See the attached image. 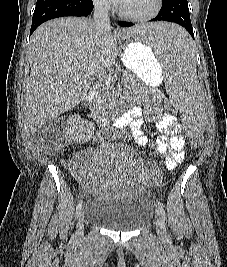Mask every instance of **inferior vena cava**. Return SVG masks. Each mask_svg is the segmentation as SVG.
Returning <instances> with one entry per match:
<instances>
[{"label": "inferior vena cava", "mask_w": 227, "mask_h": 267, "mask_svg": "<svg viewBox=\"0 0 227 267\" xmlns=\"http://www.w3.org/2000/svg\"><path fill=\"white\" fill-rule=\"evenodd\" d=\"M109 9L110 5L107 0H97L95 2L93 22L97 29L104 30L110 28Z\"/></svg>", "instance_id": "inferior-vena-cava-1"}]
</instances>
